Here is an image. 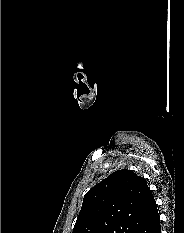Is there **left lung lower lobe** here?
<instances>
[{
    "label": "left lung lower lobe",
    "instance_id": "obj_1",
    "mask_svg": "<svg viewBox=\"0 0 184 233\" xmlns=\"http://www.w3.org/2000/svg\"><path fill=\"white\" fill-rule=\"evenodd\" d=\"M137 233H161L160 217L155 199L152 201L144 221Z\"/></svg>",
    "mask_w": 184,
    "mask_h": 233
}]
</instances>
